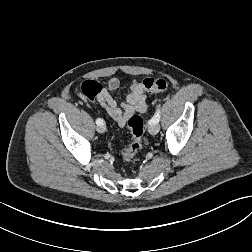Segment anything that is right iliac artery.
I'll use <instances>...</instances> for the list:
<instances>
[{
  "label": "right iliac artery",
  "instance_id": "right-iliac-artery-1",
  "mask_svg": "<svg viewBox=\"0 0 252 252\" xmlns=\"http://www.w3.org/2000/svg\"><path fill=\"white\" fill-rule=\"evenodd\" d=\"M96 124H97V125L103 124V120L100 119V118L96 119Z\"/></svg>",
  "mask_w": 252,
  "mask_h": 252
}]
</instances>
